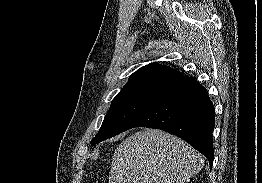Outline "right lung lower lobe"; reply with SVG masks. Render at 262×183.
<instances>
[{
  "label": "right lung lower lobe",
  "instance_id": "right-lung-lower-lobe-1",
  "mask_svg": "<svg viewBox=\"0 0 262 183\" xmlns=\"http://www.w3.org/2000/svg\"><path fill=\"white\" fill-rule=\"evenodd\" d=\"M214 112L207 90L192 77L182 76L161 88L123 132L134 127H148L174 134L202 153L211 168Z\"/></svg>",
  "mask_w": 262,
  "mask_h": 183
}]
</instances>
